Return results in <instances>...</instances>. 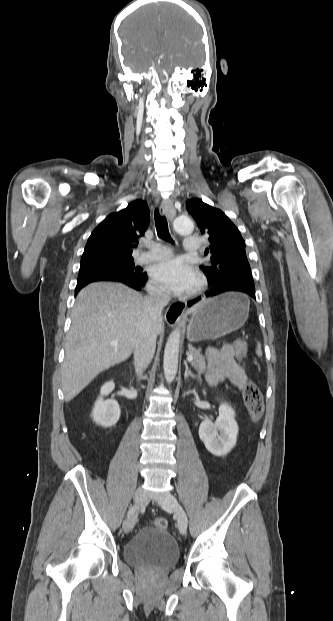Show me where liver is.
<instances>
[{"label":"liver","instance_id":"1","mask_svg":"<svg viewBox=\"0 0 333 621\" xmlns=\"http://www.w3.org/2000/svg\"><path fill=\"white\" fill-rule=\"evenodd\" d=\"M145 299L123 284L97 282L76 297L65 342L62 390L66 402L100 372L130 357L147 314ZM202 302L188 310L193 313ZM163 325L158 327V333Z\"/></svg>","mask_w":333,"mask_h":621}]
</instances>
